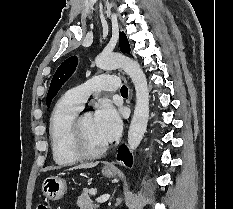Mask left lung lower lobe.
<instances>
[{
    "label": "left lung lower lobe",
    "instance_id": "0a47b994",
    "mask_svg": "<svg viewBox=\"0 0 233 209\" xmlns=\"http://www.w3.org/2000/svg\"><path fill=\"white\" fill-rule=\"evenodd\" d=\"M117 160H122L128 167L132 165V155L126 146H121L117 155Z\"/></svg>",
    "mask_w": 233,
    "mask_h": 209
}]
</instances>
